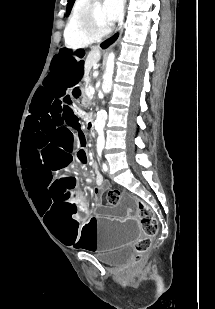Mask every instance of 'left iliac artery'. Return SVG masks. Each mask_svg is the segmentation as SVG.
Segmentation results:
<instances>
[{"label": "left iliac artery", "mask_w": 215, "mask_h": 309, "mask_svg": "<svg viewBox=\"0 0 215 309\" xmlns=\"http://www.w3.org/2000/svg\"><path fill=\"white\" fill-rule=\"evenodd\" d=\"M99 156H101V153H99ZM103 171H107V165L105 163H103L102 165Z\"/></svg>", "instance_id": "obj_1"}]
</instances>
